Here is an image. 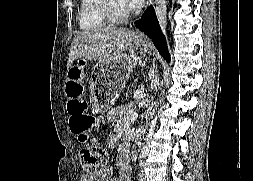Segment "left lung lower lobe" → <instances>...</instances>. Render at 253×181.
Here are the masks:
<instances>
[{"mask_svg":"<svg viewBox=\"0 0 253 181\" xmlns=\"http://www.w3.org/2000/svg\"><path fill=\"white\" fill-rule=\"evenodd\" d=\"M136 27L143 31L149 38L152 39L154 45L161 55L169 61V54L166 49L164 36L161 32L154 9L150 6L142 15L141 19L136 22Z\"/></svg>","mask_w":253,"mask_h":181,"instance_id":"0a47b994","label":"left lung lower lobe"}]
</instances>
